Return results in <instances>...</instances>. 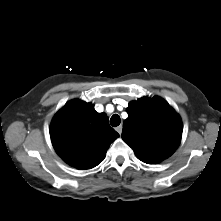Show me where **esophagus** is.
<instances>
[{"label":"esophagus","mask_w":221,"mask_h":221,"mask_svg":"<svg viewBox=\"0 0 221 221\" xmlns=\"http://www.w3.org/2000/svg\"><path fill=\"white\" fill-rule=\"evenodd\" d=\"M122 125H119L118 127H116V131L121 134L122 133Z\"/></svg>","instance_id":"34e87169"}]
</instances>
